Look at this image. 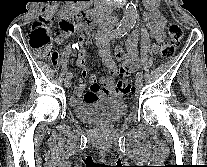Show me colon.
<instances>
[{"instance_id":"colon-1","label":"colon","mask_w":207,"mask_h":167,"mask_svg":"<svg viewBox=\"0 0 207 167\" xmlns=\"http://www.w3.org/2000/svg\"><path fill=\"white\" fill-rule=\"evenodd\" d=\"M55 8L53 5L42 10L39 20L33 24L29 35V44L37 55L46 56L52 63L56 64L59 60V54L52 48V40L50 37V26L54 20ZM62 32L73 30V25L63 22L61 25ZM183 39V30L177 24H171L168 29V39L161 49V57L167 61L174 56L175 49ZM117 89L122 94H129L134 90L132 81L128 74L120 69L119 81Z\"/></svg>"}]
</instances>
